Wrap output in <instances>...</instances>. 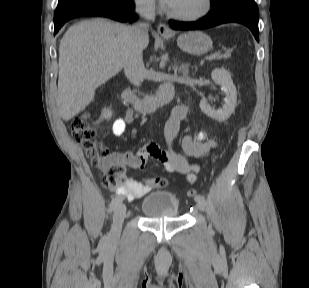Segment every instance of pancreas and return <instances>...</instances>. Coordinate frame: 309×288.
I'll list each match as a JSON object with an SVG mask.
<instances>
[{"mask_svg": "<svg viewBox=\"0 0 309 288\" xmlns=\"http://www.w3.org/2000/svg\"><path fill=\"white\" fill-rule=\"evenodd\" d=\"M230 57V54L225 53L223 55L218 56L216 59H228Z\"/></svg>", "mask_w": 309, "mask_h": 288, "instance_id": "cf45deb5", "label": "pancreas"}]
</instances>
